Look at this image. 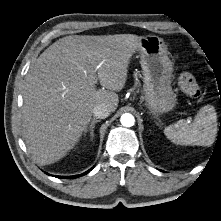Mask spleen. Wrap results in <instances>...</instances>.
Returning a JSON list of instances; mask_svg holds the SVG:
<instances>
[{"mask_svg": "<svg viewBox=\"0 0 221 221\" xmlns=\"http://www.w3.org/2000/svg\"><path fill=\"white\" fill-rule=\"evenodd\" d=\"M217 116L212 106L202 107L192 123L185 119L164 129L166 137L179 145L207 146L216 133Z\"/></svg>", "mask_w": 221, "mask_h": 221, "instance_id": "1", "label": "spleen"}]
</instances>
